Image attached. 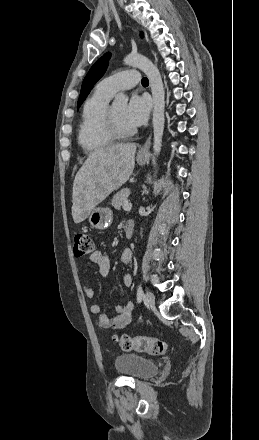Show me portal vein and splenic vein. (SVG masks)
I'll return each instance as SVG.
<instances>
[{
  "label": "portal vein and splenic vein",
  "mask_w": 259,
  "mask_h": 440,
  "mask_svg": "<svg viewBox=\"0 0 259 440\" xmlns=\"http://www.w3.org/2000/svg\"><path fill=\"white\" fill-rule=\"evenodd\" d=\"M131 208H132V204L130 202H126L123 205V209L126 210V211L131 210Z\"/></svg>",
  "instance_id": "obj_1"
}]
</instances>
